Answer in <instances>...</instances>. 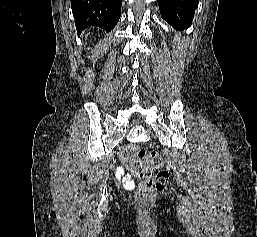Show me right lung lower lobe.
Here are the masks:
<instances>
[{"label": "right lung lower lobe", "instance_id": "obj_1", "mask_svg": "<svg viewBox=\"0 0 257 237\" xmlns=\"http://www.w3.org/2000/svg\"><path fill=\"white\" fill-rule=\"evenodd\" d=\"M121 5L122 0H71L77 32L91 26L109 32L119 21Z\"/></svg>", "mask_w": 257, "mask_h": 237}]
</instances>
